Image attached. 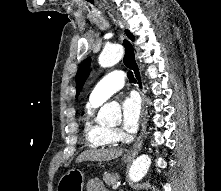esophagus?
Instances as JSON below:
<instances>
[{
	"instance_id": "esophagus-1",
	"label": "esophagus",
	"mask_w": 221,
	"mask_h": 191,
	"mask_svg": "<svg viewBox=\"0 0 221 191\" xmlns=\"http://www.w3.org/2000/svg\"><path fill=\"white\" fill-rule=\"evenodd\" d=\"M121 43L123 44L125 48V56H124V64L131 68L134 74V77L137 82V89L141 95L142 99V129L139 138L134 143L133 147L126 153V156L128 157H135L141 150L143 145V137L146 131L147 126V104H148V98L146 96V90L141 74V70L139 67V64L136 59L135 50L133 48V43L124 35H121Z\"/></svg>"
}]
</instances>
